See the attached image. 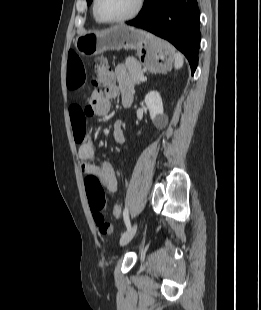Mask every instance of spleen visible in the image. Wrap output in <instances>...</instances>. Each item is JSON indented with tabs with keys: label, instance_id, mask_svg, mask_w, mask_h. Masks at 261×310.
Returning <instances> with one entry per match:
<instances>
[{
	"label": "spleen",
	"instance_id": "spleen-1",
	"mask_svg": "<svg viewBox=\"0 0 261 310\" xmlns=\"http://www.w3.org/2000/svg\"><path fill=\"white\" fill-rule=\"evenodd\" d=\"M184 59L181 53L177 52L174 56V67L175 69H180L183 66Z\"/></svg>",
	"mask_w": 261,
	"mask_h": 310
}]
</instances>
